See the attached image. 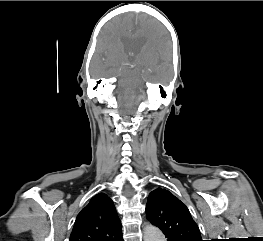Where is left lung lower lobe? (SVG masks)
Listing matches in <instances>:
<instances>
[{
	"mask_svg": "<svg viewBox=\"0 0 263 241\" xmlns=\"http://www.w3.org/2000/svg\"><path fill=\"white\" fill-rule=\"evenodd\" d=\"M167 240H168V241H174V240H172V239H170V238H167Z\"/></svg>",
	"mask_w": 263,
	"mask_h": 241,
	"instance_id": "1",
	"label": "left lung lower lobe"
}]
</instances>
